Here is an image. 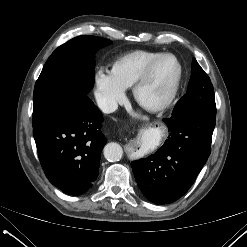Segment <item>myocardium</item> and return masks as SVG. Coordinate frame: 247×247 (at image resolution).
Segmentation results:
<instances>
[{
	"instance_id": "obj_1",
	"label": "myocardium",
	"mask_w": 247,
	"mask_h": 247,
	"mask_svg": "<svg viewBox=\"0 0 247 247\" xmlns=\"http://www.w3.org/2000/svg\"><path fill=\"white\" fill-rule=\"evenodd\" d=\"M165 58H172L177 66V72L174 78V81L172 83V86L168 92V94L161 99L160 101L157 102H147L142 98L141 92L145 84L148 82L154 68L156 65L163 59ZM182 78V66L178 58L172 54V53H163L160 54L158 57L153 59L143 70V72L140 74L138 79L133 85V97L135 101L140 105L142 108H144L147 111L150 112H160L165 109H167L175 100L179 87H180V82Z\"/></svg>"
}]
</instances>
